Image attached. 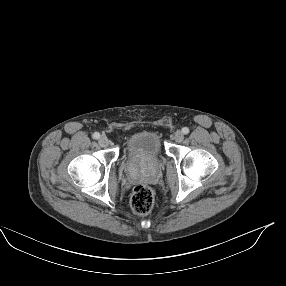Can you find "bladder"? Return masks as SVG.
Wrapping results in <instances>:
<instances>
[{
	"label": "bladder",
	"instance_id": "1",
	"mask_svg": "<svg viewBox=\"0 0 286 286\" xmlns=\"http://www.w3.org/2000/svg\"><path fill=\"white\" fill-rule=\"evenodd\" d=\"M164 155V144L160 134L154 130L135 133L126 143L124 158L128 161H157Z\"/></svg>",
	"mask_w": 286,
	"mask_h": 286
}]
</instances>
